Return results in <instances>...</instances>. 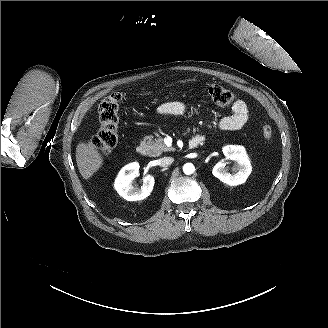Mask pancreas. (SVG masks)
<instances>
[{"mask_svg": "<svg viewBox=\"0 0 328 328\" xmlns=\"http://www.w3.org/2000/svg\"><path fill=\"white\" fill-rule=\"evenodd\" d=\"M141 144L147 146V154L150 157H158L163 152L173 150L172 147H167L164 144L163 138L161 137H159L158 139H153L152 136H145Z\"/></svg>", "mask_w": 328, "mask_h": 328, "instance_id": "pancreas-1", "label": "pancreas"}]
</instances>
